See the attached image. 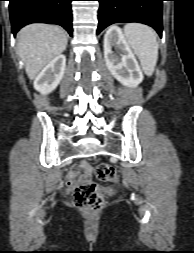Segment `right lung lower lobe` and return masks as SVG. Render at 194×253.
<instances>
[{
	"label": "right lung lower lobe",
	"mask_w": 194,
	"mask_h": 253,
	"mask_svg": "<svg viewBox=\"0 0 194 253\" xmlns=\"http://www.w3.org/2000/svg\"><path fill=\"white\" fill-rule=\"evenodd\" d=\"M72 0H9L14 35L30 23L58 24L72 36Z\"/></svg>",
	"instance_id": "98d812e1"
}]
</instances>
